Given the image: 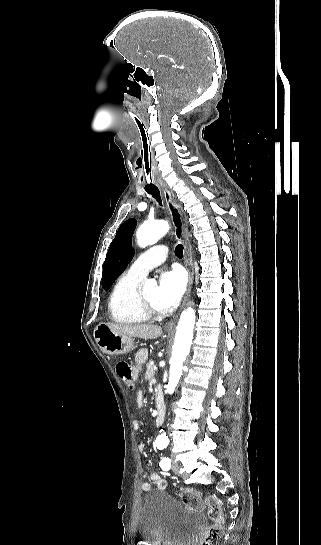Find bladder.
Segmentation results:
<instances>
[{"label": "bladder", "mask_w": 321, "mask_h": 545, "mask_svg": "<svg viewBox=\"0 0 321 545\" xmlns=\"http://www.w3.org/2000/svg\"><path fill=\"white\" fill-rule=\"evenodd\" d=\"M204 524L201 513L184 509L164 490L151 489L142 501L139 533L151 545H191Z\"/></svg>", "instance_id": "bladder-1"}]
</instances>
